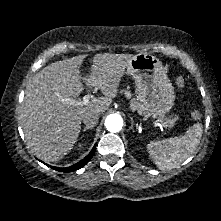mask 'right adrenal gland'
Listing matches in <instances>:
<instances>
[{"instance_id":"right-adrenal-gland-1","label":"right adrenal gland","mask_w":221,"mask_h":221,"mask_svg":"<svg viewBox=\"0 0 221 221\" xmlns=\"http://www.w3.org/2000/svg\"><path fill=\"white\" fill-rule=\"evenodd\" d=\"M91 129H93V127L86 126L85 128H83L82 132H85V131H87V130H91Z\"/></svg>"}]
</instances>
